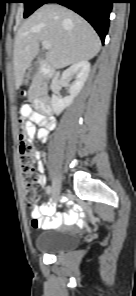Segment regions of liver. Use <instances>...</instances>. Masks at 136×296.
I'll list each match as a JSON object with an SVG mask.
<instances>
[{
    "mask_svg": "<svg viewBox=\"0 0 136 296\" xmlns=\"http://www.w3.org/2000/svg\"><path fill=\"white\" fill-rule=\"evenodd\" d=\"M40 41L51 44L47 59L53 71L90 60L101 48L96 31L80 15L58 4H45L23 23L15 36L16 89L22 85L28 65L38 54Z\"/></svg>",
    "mask_w": 136,
    "mask_h": 296,
    "instance_id": "1",
    "label": "liver"
}]
</instances>
